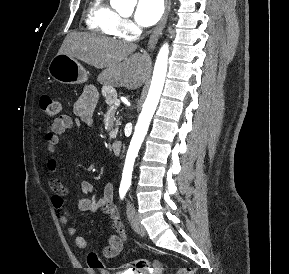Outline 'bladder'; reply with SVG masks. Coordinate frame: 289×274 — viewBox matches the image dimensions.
<instances>
[{
    "label": "bladder",
    "mask_w": 289,
    "mask_h": 274,
    "mask_svg": "<svg viewBox=\"0 0 289 274\" xmlns=\"http://www.w3.org/2000/svg\"><path fill=\"white\" fill-rule=\"evenodd\" d=\"M117 274H146L144 271L138 272V271H126L122 273H117Z\"/></svg>",
    "instance_id": "1"
}]
</instances>
